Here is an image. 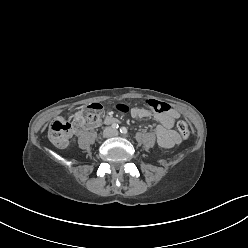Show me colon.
I'll use <instances>...</instances> for the list:
<instances>
[{"label":"colon","mask_w":248,"mask_h":248,"mask_svg":"<svg viewBox=\"0 0 248 248\" xmlns=\"http://www.w3.org/2000/svg\"><path fill=\"white\" fill-rule=\"evenodd\" d=\"M147 106L155 112H165L170 109L169 105L157 100L147 101ZM117 109L123 113L129 112V107L125 104H118ZM102 115V106L100 104H91L76 113V120L71 123L64 118L55 119L48 131V136L53 144L58 147H65L72 132L79 133L84 127L98 124ZM177 128L184 139L189 137L188 124L180 120L177 123Z\"/></svg>","instance_id":"obj_1"}]
</instances>
